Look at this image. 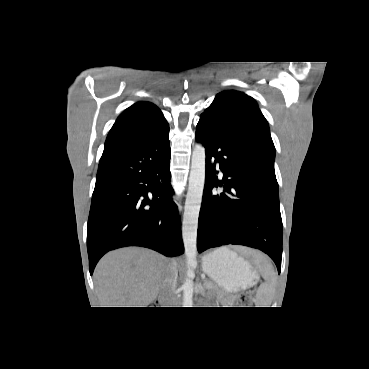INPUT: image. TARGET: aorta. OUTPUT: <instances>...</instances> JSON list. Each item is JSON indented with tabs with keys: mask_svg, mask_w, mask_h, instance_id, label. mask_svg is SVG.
<instances>
[{
	"mask_svg": "<svg viewBox=\"0 0 369 369\" xmlns=\"http://www.w3.org/2000/svg\"><path fill=\"white\" fill-rule=\"evenodd\" d=\"M205 164V148L198 143L192 152L189 185L182 221V238L187 265V278L182 285L183 307H192L193 305L194 289L191 277L194 274L193 268L197 265V229L205 183Z\"/></svg>",
	"mask_w": 369,
	"mask_h": 369,
	"instance_id": "aorta-1",
	"label": "aorta"
}]
</instances>
